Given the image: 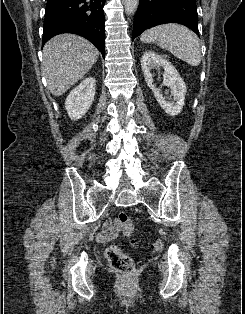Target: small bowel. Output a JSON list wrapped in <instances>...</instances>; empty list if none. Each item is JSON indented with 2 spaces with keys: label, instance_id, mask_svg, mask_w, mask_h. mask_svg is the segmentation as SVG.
Returning <instances> with one entry per match:
<instances>
[{
  "label": "small bowel",
  "instance_id": "c3829d8e",
  "mask_svg": "<svg viewBox=\"0 0 245 314\" xmlns=\"http://www.w3.org/2000/svg\"><path fill=\"white\" fill-rule=\"evenodd\" d=\"M119 226L112 220L104 222L103 230L97 234V240L101 244H109L115 241L119 234Z\"/></svg>",
  "mask_w": 245,
  "mask_h": 314
}]
</instances>
